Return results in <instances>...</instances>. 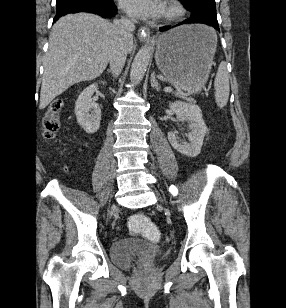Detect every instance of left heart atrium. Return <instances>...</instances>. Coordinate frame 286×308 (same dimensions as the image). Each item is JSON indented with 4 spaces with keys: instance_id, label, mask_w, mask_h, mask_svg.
<instances>
[{
    "instance_id": "1",
    "label": "left heart atrium",
    "mask_w": 286,
    "mask_h": 308,
    "mask_svg": "<svg viewBox=\"0 0 286 308\" xmlns=\"http://www.w3.org/2000/svg\"><path fill=\"white\" fill-rule=\"evenodd\" d=\"M120 6L135 18H156L162 14L160 0H120Z\"/></svg>"
}]
</instances>
